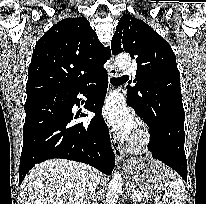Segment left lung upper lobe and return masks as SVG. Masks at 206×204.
I'll use <instances>...</instances> for the list:
<instances>
[{"instance_id": "obj_1", "label": "left lung upper lobe", "mask_w": 206, "mask_h": 204, "mask_svg": "<svg viewBox=\"0 0 206 204\" xmlns=\"http://www.w3.org/2000/svg\"><path fill=\"white\" fill-rule=\"evenodd\" d=\"M111 49L115 55L127 52L136 59L135 87L128 88L127 98L150 130H157L161 116L183 105L172 48L145 22L126 14L116 27Z\"/></svg>"}]
</instances>
